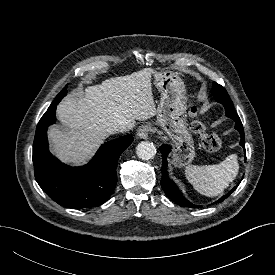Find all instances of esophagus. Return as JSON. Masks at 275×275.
<instances>
[{"mask_svg":"<svg viewBox=\"0 0 275 275\" xmlns=\"http://www.w3.org/2000/svg\"><path fill=\"white\" fill-rule=\"evenodd\" d=\"M151 131L150 125H142L137 130V136L141 139H146Z\"/></svg>","mask_w":275,"mask_h":275,"instance_id":"1","label":"esophagus"}]
</instances>
